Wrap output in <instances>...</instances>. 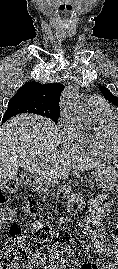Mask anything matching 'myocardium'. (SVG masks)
I'll list each match as a JSON object with an SVG mask.
<instances>
[{"mask_svg":"<svg viewBox=\"0 0 118 269\" xmlns=\"http://www.w3.org/2000/svg\"><path fill=\"white\" fill-rule=\"evenodd\" d=\"M110 138L112 139V145L115 147L118 153V119L110 126Z\"/></svg>","mask_w":118,"mask_h":269,"instance_id":"f54148a6","label":"myocardium"}]
</instances>
